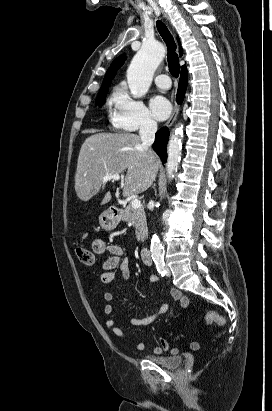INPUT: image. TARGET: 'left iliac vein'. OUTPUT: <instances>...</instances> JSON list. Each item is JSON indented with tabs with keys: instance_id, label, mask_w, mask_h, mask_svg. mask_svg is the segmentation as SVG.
<instances>
[{
	"instance_id": "4c4485c4",
	"label": "left iliac vein",
	"mask_w": 272,
	"mask_h": 411,
	"mask_svg": "<svg viewBox=\"0 0 272 411\" xmlns=\"http://www.w3.org/2000/svg\"><path fill=\"white\" fill-rule=\"evenodd\" d=\"M165 271H166V276H170L171 275V271L169 269V267L166 265L165 266Z\"/></svg>"
}]
</instances>
